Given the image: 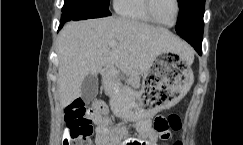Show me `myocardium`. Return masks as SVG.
Segmentation results:
<instances>
[{
	"instance_id": "f54148a6",
	"label": "myocardium",
	"mask_w": 243,
	"mask_h": 145,
	"mask_svg": "<svg viewBox=\"0 0 243 145\" xmlns=\"http://www.w3.org/2000/svg\"><path fill=\"white\" fill-rule=\"evenodd\" d=\"M174 4H175V16H174V20L172 21V23L170 24H164L162 22H160L154 15V11H153V0H145V8L147 11L148 16L150 17V19L161 26L164 27H172L177 23V20L179 18V12H180V4H179V0H174Z\"/></svg>"
}]
</instances>
